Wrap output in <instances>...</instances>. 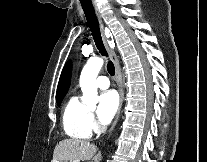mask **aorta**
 Returning a JSON list of instances; mask_svg holds the SVG:
<instances>
[{
	"mask_svg": "<svg viewBox=\"0 0 207 162\" xmlns=\"http://www.w3.org/2000/svg\"><path fill=\"white\" fill-rule=\"evenodd\" d=\"M104 61L100 57H91L84 66L80 75V87L83 92L82 101L89 107L98 103L96 77Z\"/></svg>",
	"mask_w": 207,
	"mask_h": 162,
	"instance_id": "aorta-1",
	"label": "aorta"
}]
</instances>
